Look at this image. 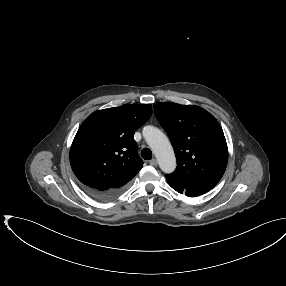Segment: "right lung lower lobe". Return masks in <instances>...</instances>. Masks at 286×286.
I'll return each instance as SVG.
<instances>
[{
  "label": "right lung lower lobe",
  "instance_id": "right-lung-lower-lobe-1",
  "mask_svg": "<svg viewBox=\"0 0 286 286\" xmlns=\"http://www.w3.org/2000/svg\"><path fill=\"white\" fill-rule=\"evenodd\" d=\"M83 189L88 195L101 201H107L116 198L124 191V189L98 190L86 186H83Z\"/></svg>",
  "mask_w": 286,
  "mask_h": 286
}]
</instances>
